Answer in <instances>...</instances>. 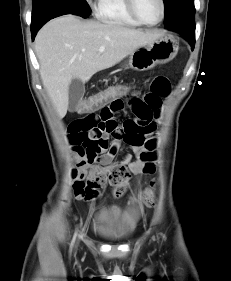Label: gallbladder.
Listing matches in <instances>:
<instances>
[{
    "label": "gallbladder",
    "mask_w": 231,
    "mask_h": 281,
    "mask_svg": "<svg viewBox=\"0 0 231 281\" xmlns=\"http://www.w3.org/2000/svg\"><path fill=\"white\" fill-rule=\"evenodd\" d=\"M84 93V83L78 78L72 79L68 89L70 111L77 110L79 101L82 99Z\"/></svg>",
    "instance_id": "1"
}]
</instances>
